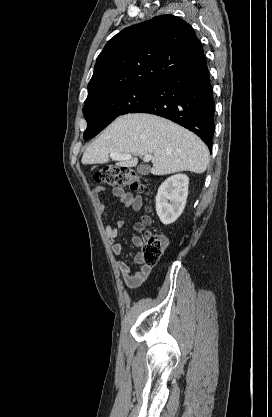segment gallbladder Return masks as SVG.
Instances as JSON below:
<instances>
[{
    "label": "gallbladder",
    "mask_w": 272,
    "mask_h": 417,
    "mask_svg": "<svg viewBox=\"0 0 272 417\" xmlns=\"http://www.w3.org/2000/svg\"><path fill=\"white\" fill-rule=\"evenodd\" d=\"M137 172L141 175H148L150 172V167L148 165L141 164L137 167Z\"/></svg>",
    "instance_id": "bac80fb5"
}]
</instances>
